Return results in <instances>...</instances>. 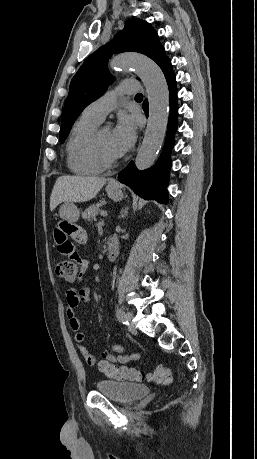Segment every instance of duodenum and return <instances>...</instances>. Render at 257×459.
Returning <instances> with one entry per match:
<instances>
[{
	"mask_svg": "<svg viewBox=\"0 0 257 459\" xmlns=\"http://www.w3.org/2000/svg\"><path fill=\"white\" fill-rule=\"evenodd\" d=\"M119 253V243L115 238H110L107 242V258L114 261Z\"/></svg>",
	"mask_w": 257,
	"mask_h": 459,
	"instance_id": "1",
	"label": "duodenum"
}]
</instances>
